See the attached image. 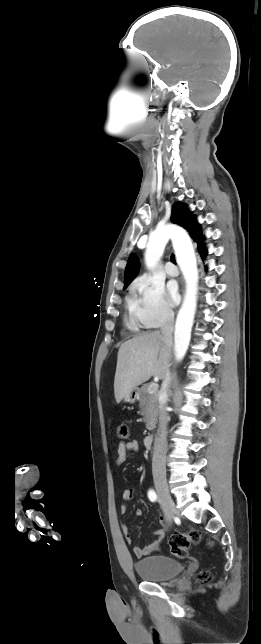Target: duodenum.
Here are the masks:
<instances>
[{
    "instance_id": "410a0bca",
    "label": "duodenum",
    "mask_w": 261,
    "mask_h": 644,
    "mask_svg": "<svg viewBox=\"0 0 261 644\" xmlns=\"http://www.w3.org/2000/svg\"><path fill=\"white\" fill-rule=\"evenodd\" d=\"M152 443H153V436H152V435H147V436L144 438V446H145L146 448H151Z\"/></svg>"
}]
</instances>
